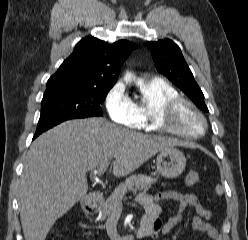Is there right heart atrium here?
I'll return each mask as SVG.
<instances>
[{
	"label": "right heart atrium",
	"instance_id": "obj_1",
	"mask_svg": "<svg viewBox=\"0 0 248 240\" xmlns=\"http://www.w3.org/2000/svg\"><path fill=\"white\" fill-rule=\"evenodd\" d=\"M104 105L112 121L128 128H136L138 122L135 108L123 83L117 82L108 90Z\"/></svg>",
	"mask_w": 248,
	"mask_h": 240
}]
</instances>
